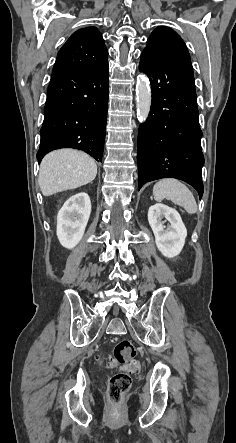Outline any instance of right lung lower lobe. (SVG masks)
Returning a JSON list of instances; mask_svg holds the SVG:
<instances>
[{"instance_id":"1","label":"right lung lower lobe","mask_w":236,"mask_h":443,"mask_svg":"<svg viewBox=\"0 0 236 443\" xmlns=\"http://www.w3.org/2000/svg\"><path fill=\"white\" fill-rule=\"evenodd\" d=\"M108 107V65L94 71L54 70L48 87L37 159L59 148L102 161Z\"/></svg>"}]
</instances>
